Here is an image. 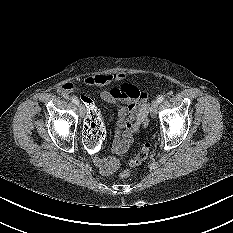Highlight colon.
Instances as JSON below:
<instances>
[{
	"mask_svg": "<svg viewBox=\"0 0 233 233\" xmlns=\"http://www.w3.org/2000/svg\"><path fill=\"white\" fill-rule=\"evenodd\" d=\"M78 104L84 113V137L86 148L90 153L96 154L100 152L104 146L103 139L105 136V125L103 118L88 95H81L78 99ZM142 125H148L147 116L142 120ZM150 147V143H143L137 155L130 160L129 165L135 167L144 162L149 156ZM129 176L130 170L128 169L120 173L122 179H126Z\"/></svg>",
	"mask_w": 233,
	"mask_h": 233,
	"instance_id": "obj_1",
	"label": "colon"
}]
</instances>
